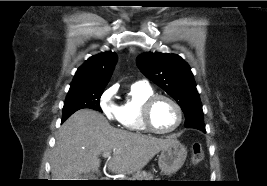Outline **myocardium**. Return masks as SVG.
I'll return each instance as SVG.
<instances>
[{
  "mask_svg": "<svg viewBox=\"0 0 267 186\" xmlns=\"http://www.w3.org/2000/svg\"><path fill=\"white\" fill-rule=\"evenodd\" d=\"M159 100H166L170 102L174 106L177 112V121L175 125L172 128L167 129V130L157 129L153 125V122H152V118H151L152 109H153L154 104ZM141 120L145 128L150 132H153L156 134H170V133L175 132L181 126L183 122V111H182L181 106L178 104V102L175 101L172 97L168 95H164V94H153L149 96L142 105Z\"/></svg>",
  "mask_w": 267,
  "mask_h": 186,
  "instance_id": "myocardium-1",
  "label": "myocardium"
}]
</instances>
